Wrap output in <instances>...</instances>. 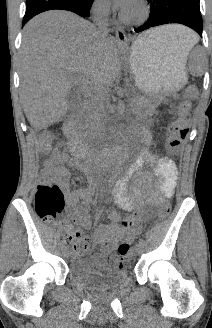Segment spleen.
Wrapping results in <instances>:
<instances>
[{"label": "spleen", "instance_id": "obj_1", "mask_svg": "<svg viewBox=\"0 0 212 328\" xmlns=\"http://www.w3.org/2000/svg\"><path fill=\"white\" fill-rule=\"evenodd\" d=\"M197 42V39H191L189 42L186 44V46L183 48V55L185 60L187 59V56L189 54V51L192 49L194 44Z\"/></svg>", "mask_w": 212, "mask_h": 328}]
</instances>
